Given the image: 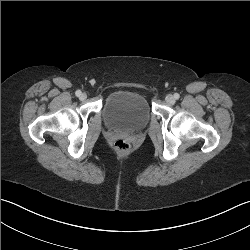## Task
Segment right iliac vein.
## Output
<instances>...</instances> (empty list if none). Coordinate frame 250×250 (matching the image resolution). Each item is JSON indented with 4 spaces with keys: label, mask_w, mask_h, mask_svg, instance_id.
Segmentation results:
<instances>
[{
    "label": "right iliac vein",
    "mask_w": 250,
    "mask_h": 250,
    "mask_svg": "<svg viewBox=\"0 0 250 250\" xmlns=\"http://www.w3.org/2000/svg\"><path fill=\"white\" fill-rule=\"evenodd\" d=\"M86 98H87L86 93H82V94L80 95V99H81V100H85Z\"/></svg>",
    "instance_id": "obj_1"
}]
</instances>
